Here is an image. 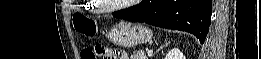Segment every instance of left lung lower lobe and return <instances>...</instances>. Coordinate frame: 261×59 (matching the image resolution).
Listing matches in <instances>:
<instances>
[{"instance_id": "0a47b994", "label": "left lung lower lobe", "mask_w": 261, "mask_h": 59, "mask_svg": "<svg viewBox=\"0 0 261 59\" xmlns=\"http://www.w3.org/2000/svg\"><path fill=\"white\" fill-rule=\"evenodd\" d=\"M212 0H143L137 7L114 17L186 31L204 43L209 31Z\"/></svg>"}]
</instances>
